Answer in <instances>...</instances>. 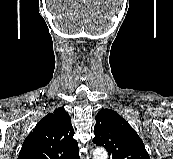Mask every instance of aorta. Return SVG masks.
Instances as JSON below:
<instances>
[{
	"mask_svg": "<svg viewBox=\"0 0 173 159\" xmlns=\"http://www.w3.org/2000/svg\"><path fill=\"white\" fill-rule=\"evenodd\" d=\"M93 159H108L107 151L104 148H96L93 151Z\"/></svg>",
	"mask_w": 173,
	"mask_h": 159,
	"instance_id": "aorta-1",
	"label": "aorta"
}]
</instances>
